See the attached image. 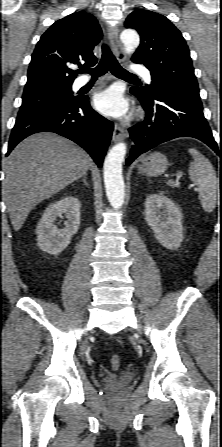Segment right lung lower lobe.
<instances>
[{
	"label": "right lung lower lobe",
	"instance_id": "1",
	"mask_svg": "<svg viewBox=\"0 0 222 447\" xmlns=\"http://www.w3.org/2000/svg\"><path fill=\"white\" fill-rule=\"evenodd\" d=\"M112 131V122L90 107L88 97H77L70 103L18 116L6 156L29 135L54 132L79 144L90 154L98 167H101Z\"/></svg>",
	"mask_w": 222,
	"mask_h": 447
}]
</instances>
